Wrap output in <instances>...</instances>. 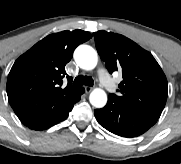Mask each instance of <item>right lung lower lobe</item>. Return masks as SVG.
Listing matches in <instances>:
<instances>
[{
	"instance_id": "1",
	"label": "right lung lower lobe",
	"mask_w": 181,
	"mask_h": 164,
	"mask_svg": "<svg viewBox=\"0 0 181 164\" xmlns=\"http://www.w3.org/2000/svg\"><path fill=\"white\" fill-rule=\"evenodd\" d=\"M83 93L84 88L73 98L69 104L62 106L53 113L42 115H20L18 118L25 126L29 127L30 129L45 130L66 119L69 112L72 110L73 105L80 100V97Z\"/></svg>"
}]
</instances>
